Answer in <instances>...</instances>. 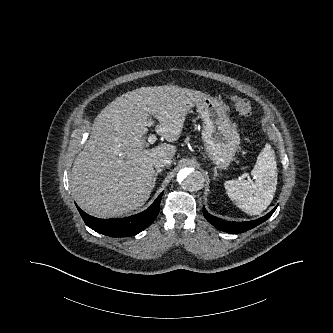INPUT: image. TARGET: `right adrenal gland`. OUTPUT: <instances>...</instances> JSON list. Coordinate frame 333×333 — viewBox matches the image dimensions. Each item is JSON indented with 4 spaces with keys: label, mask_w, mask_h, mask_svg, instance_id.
Instances as JSON below:
<instances>
[{
    "label": "right adrenal gland",
    "mask_w": 333,
    "mask_h": 333,
    "mask_svg": "<svg viewBox=\"0 0 333 333\" xmlns=\"http://www.w3.org/2000/svg\"><path fill=\"white\" fill-rule=\"evenodd\" d=\"M162 171V169H157V171L155 172V176H154V179H153V184H152V188L155 187V184H156V181H157V176L158 174Z\"/></svg>",
    "instance_id": "1"
}]
</instances>
